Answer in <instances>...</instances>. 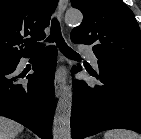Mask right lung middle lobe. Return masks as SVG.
<instances>
[{
	"label": "right lung middle lobe",
	"instance_id": "1",
	"mask_svg": "<svg viewBox=\"0 0 141 139\" xmlns=\"http://www.w3.org/2000/svg\"><path fill=\"white\" fill-rule=\"evenodd\" d=\"M14 62V59L0 57V66L9 65Z\"/></svg>",
	"mask_w": 141,
	"mask_h": 139
}]
</instances>
